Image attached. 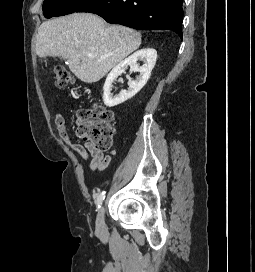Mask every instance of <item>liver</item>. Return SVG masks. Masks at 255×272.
I'll return each instance as SVG.
<instances>
[{
	"instance_id": "liver-1",
	"label": "liver",
	"mask_w": 255,
	"mask_h": 272,
	"mask_svg": "<svg viewBox=\"0 0 255 272\" xmlns=\"http://www.w3.org/2000/svg\"><path fill=\"white\" fill-rule=\"evenodd\" d=\"M140 44L141 34L133 29L107 25L92 13H73L40 25L36 54L61 56L77 78L95 83Z\"/></svg>"
}]
</instances>
